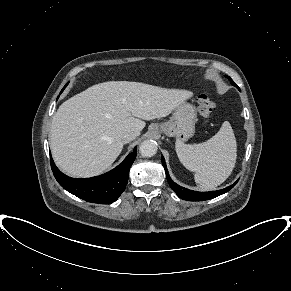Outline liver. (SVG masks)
<instances>
[{"label": "liver", "mask_w": 291, "mask_h": 291, "mask_svg": "<svg viewBox=\"0 0 291 291\" xmlns=\"http://www.w3.org/2000/svg\"><path fill=\"white\" fill-rule=\"evenodd\" d=\"M192 92L149 84L110 81L93 85L58 108L50 128L56 165L72 177L107 170L122 151L121 136L145 127L143 120L168 116Z\"/></svg>", "instance_id": "6515ba94"}]
</instances>
